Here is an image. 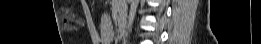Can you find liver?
Returning a JSON list of instances; mask_svg holds the SVG:
<instances>
[{
  "label": "liver",
  "mask_w": 261,
  "mask_h": 44,
  "mask_svg": "<svg viewBox=\"0 0 261 44\" xmlns=\"http://www.w3.org/2000/svg\"><path fill=\"white\" fill-rule=\"evenodd\" d=\"M97 30H114V25H97ZM103 36H107V32L103 33Z\"/></svg>",
  "instance_id": "1"
}]
</instances>
